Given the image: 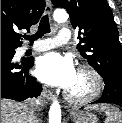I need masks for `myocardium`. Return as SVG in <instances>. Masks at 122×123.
I'll return each mask as SVG.
<instances>
[{"label": "myocardium", "mask_w": 122, "mask_h": 123, "mask_svg": "<svg viewBox=\"0 0 122 123\" xmlns=\"http://www.w3.org/2000/svg\"><path fill=\"white\" fill-rule=\"evenodd\" d=\"M77 72H86L92 78V88L84 95H74L69 90L65 93L66 99L72 104H85L92 101L102 92L104 81L97 69L88 64H82L78 67Z\"/></svg>", "instance_id": "1"}]
</instances>
